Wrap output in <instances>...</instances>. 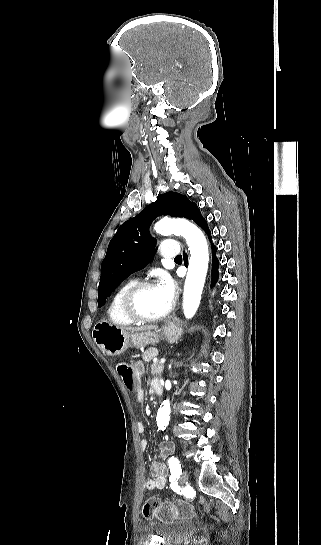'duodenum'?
<instances>
[{
    "label": "duodenum",
    "mask_w": 321,
    "mask_h": 545,
    "mask_svg": "<svg viewBox=\"0 0 321 545\" xmlns=\"http://www.w3.org/2000/svg\"><path fill=\"white\" fill-rule=\"evenodd\" d=\"M155 391H156L157 393H160V392H161V388L158 386V387L155 388Z\"/></svg>",
    "instance_id": "obj_1"
}]
</instances>
